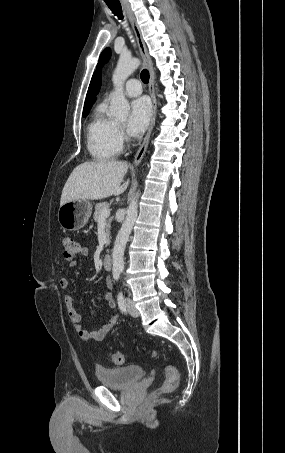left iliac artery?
Instances as JSON below:
<instances>
[{
    "instance_id": "obj_1",
    "label": "left iliac artery",
    "mask_w": 285,
    "mask_h": 453,
    "mask_svg": "<svg viewBox=\"0 0 285 453\" xmlns=\"http://www.w3.org/2000/svg\"><path fill=\"white\" fill-rule=\"evenodd\" d=\"M117 302H118V306H119L120 310L125 313L126 312V307H125V304H124V297H123V293L122 292H119L118 298H117Z\"/></svg>"
}]
</instances>
